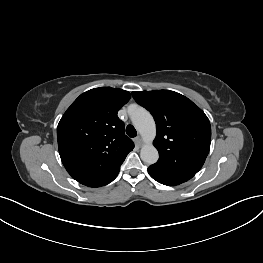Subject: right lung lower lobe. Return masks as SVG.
I'll use <instances>...</instances> for the list:
<instances>
[{"instance_id":"1","label":"right lung lower lobe","mask_w":263,"mask_h":263,"mask_svg":"<svg viewBox=\"0 0 263 263\" xmlns=\"http://www.w3.org/2000/svg\"><path fill=\"white\" fill-rule=\"evenodd\" d=\"M119 170H120V167L117 168L116 170H114L109 175L103 177V178H100V179H97V180L88 181V182H85V183H82V184L86 185L88 187L104 186V185L110 183L111 181H113L117 177V175L119 173Z\"/></svg>"}]
</instances>
